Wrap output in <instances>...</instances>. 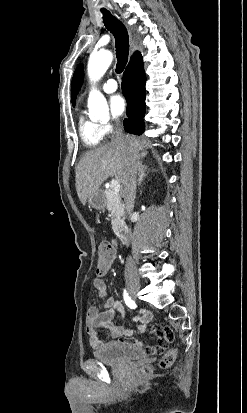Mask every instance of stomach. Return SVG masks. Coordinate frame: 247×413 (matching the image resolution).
<instances>
[{
	"label": "stomach",
	"instance_id": "stomach-1",
	"mask_svg": "<svg viewBox=\"0 0 247 413\" xmlns=\"http://www.w3.org/2000/svg\"><path fill=\"white\" fill-rule=\"evenodd\" d=\"M88 202L90 204V207H93V209H97V211H103L107 204V198L105 196L104 190L98 188V190L92 192V194L88 196Z\"/></svg>",
	"mask_w": 247,
	"mask_h": 413
}]
</instances>
